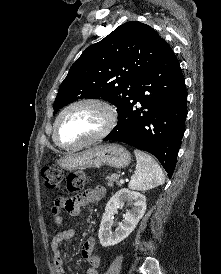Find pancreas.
Returning <instances> with one entry per match:
<instances>
[{"mask_svg": "<svg viewBox=\"0 0 221 274\" xmlns=\"http://www.w3.org/2000/svg\"><path fill=\"white\" fill-rule=\"evenodd\" d=\"M106 180H108L106 185L109 186V187H112L114 182L119 186L121 185L118 181L119 180V175H117V174L108 175L106 177Z\"/></svg>", "mask_w": 221, "mask_h": 274, "instance_id": "obj_1", "label": "pancreas"}]
</instances>
